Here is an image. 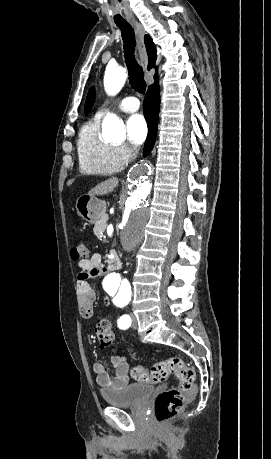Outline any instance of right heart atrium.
Returning a JSON list of instances; mask_svg holds the SVG:
<instances>
[{"instance_id": "right-heart-atrium-1", "label": "right heart atrium", "mask_w": 271, "mask_h": 459, "mask_svg": "<svg viewBox=\"0 0 271 459\" xmlns=\"http://www.w3.org/2000/svg\"><path fill=\"white\" fill-rule=\"evenodd\" d=\"M134 154V150L127 144L115 145V155L122 164L131 161Z\"/></svg>"}]
</instances>
